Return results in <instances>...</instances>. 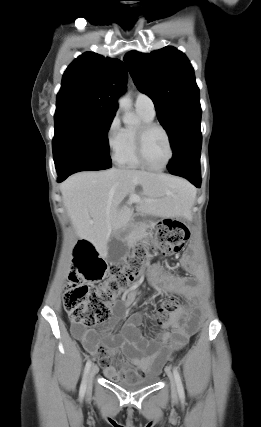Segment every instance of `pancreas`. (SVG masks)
<instances>
[{
	"instance_id": "pancreas-1",
	"label": "pancreas",
	"mask_w": 261,
	"mask_h": 427,
	"mask_svg": "<svg viewBox=\"0 0 261 427\" xmlns=\"http://www.w3.org/2000/svg\"><path fill=\"white\" fill-rule=\"evenodd\" d=\"M148 228H149V225H145V224L137 227L134 233V238L137 240H140L145 236L150 235L151 233L147 232Z\"/></svg>"
}]
</instances>
